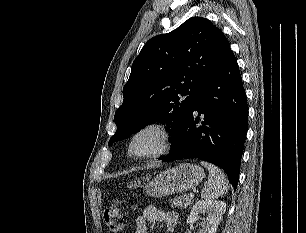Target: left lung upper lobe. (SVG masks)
Wrapping results in <instances>:
<instances>
[{
  "instance_id": "obj_1",
  "label": "left lung upper lobe",
  "mask_w": 306,
  "mask_h": 233,
  "mask_svg": "<svg viewBox=\"0 0 306 233\" xmlns=\"http://www.w3.org/2000/svg\"><path fill=\"white\" fill-rule=\"evenodd\" d=\"M230 51L223 32L202 17L150 39L132 64L109 145L155 121L168 125L172 142Z\"/></svg>"
}]
</instances>
